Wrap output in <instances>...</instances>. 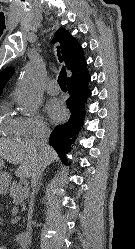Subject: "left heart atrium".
<instances>
[{"mask_svg":"<svg viewBox=\"0 0 135 249\" xmlns=\"http://www.w3.org/2000/svg\"><path fill=\"white\" fill-rule=\"evenodd\" d=\"M46 112L51 120L58 121L64 113L62 104L57 100H51L46 105Z\"/></svg>","mask_w":135,"mask_h":249,"instance_id":"left-heart-atrium-1","label":"left heart atrium"}]
</instances>
